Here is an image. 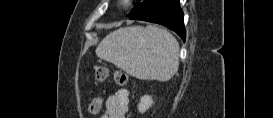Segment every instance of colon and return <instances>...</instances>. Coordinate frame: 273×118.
Returning a JSON list of instances; mask_svg holds the SVG:
<instances>
[{
  "instance_id": "5ec220e1",
  "label": "colon",
  "mask_w": 273,
  "mask_h": 118,
  "mask_svg": "<svg viewBox=\"0 0 273 118\" xmlns=\"http://www.w3.org/2000/svg\"><path fill=\"white\" fill-rule=\"evenodd\" d=\"M110 74L113 75L117 85L124 86L127 84L128 76L126 73L118 70L111 71L109 68L102 65L95 68V78L98 82H104ZM103 103V97L98 96L90 102L88 109L91 113H98L101 110Z\"/></svg>"
}]
</instances>
